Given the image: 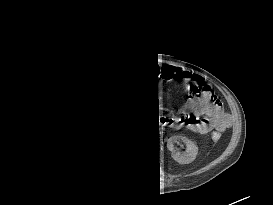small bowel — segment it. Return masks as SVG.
Segmentation results:
<instances>
[{"label": "small bowel", "instance_id": "c3829d8e", "mask_svg": "<svg viewBox=\"0 0 273 205\" xmlns=\"http://www.w3.org/2000/svg\"><path fill=\"white\" fill-rule=\"evenodd\" d=\"M188 77H192L194 81H199L197 75H188ZM184 109L195 115L194 118L188 121V125L196 132L208 131L213 126L217 129H222L226 127L229 120V115L224 112L221 103L211 98L208 87L203 89L200 97L189 99ZM201 115H204V117L200 118L199 116ZM176 125V123L172 124V126Z\"/></svg>", "mask_w": 273, "mask_h": 205}]
</instances>
